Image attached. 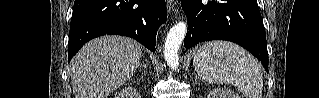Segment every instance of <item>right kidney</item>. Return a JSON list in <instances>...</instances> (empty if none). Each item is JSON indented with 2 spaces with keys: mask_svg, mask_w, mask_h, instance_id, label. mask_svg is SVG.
<instances>
[{
  "mask_svg": "<svg viewBox=\"0 0 319 98\" xmlns=\"http://www.w3.org/2000/svg\"><path fill=\"white\" fill-rule=\"evenodd\" d=\"M131 93L135 94V90H131ZM124 96H125L124 94H121V95L119 94L118 96H116V98H124Z\"/></svg>",
  "mask_w": 319,
  "mask_h": 98,
  "instance_id": "1",
  "label": "right kidney"
}]
</instances>
